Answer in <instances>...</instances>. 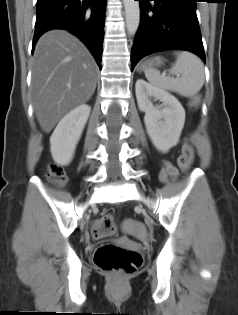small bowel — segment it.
I'll return each mask as SVG.
<instances>
[{
	"instance_id": "1",
	"label": "small bowel",
	"mask_w": 238,
	"mask_h": 315,
	"mask_svg": "<svg viewBox=\"0 0 238 315\" xmlns=\"http://www.w3.org/2000/svg\"><path fill=\"white\" fill-rule=\"evenodd\" d=\"M177 175H178V171L172 164H170L169 162L163 163V168L160 173V179L163 182H167L175 178Z\"/></svg>"
}]
</instances>
